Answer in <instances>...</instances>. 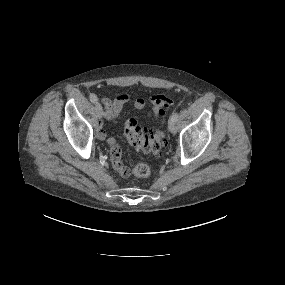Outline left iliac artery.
Here are the masks:
<instances>
[{
    "label": "left iliac artery",
    "instance_id": "44dca946",
    "mask_svg": "<svg viewBox=\"0 0 285 285\" xmlns=\"http://www.w3.org/2000/svg\"><path fill=\"white\" fill-rule=\"evenodd\" d=\"M171 119L174 120V121H177V119H178V113H177V112H174V113L171 115Z\"/></svg>",
    "mask_w": 285,
    "mask_h": 285
}]
</instances>
